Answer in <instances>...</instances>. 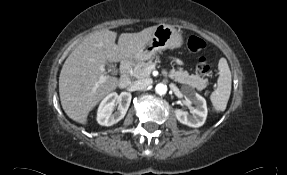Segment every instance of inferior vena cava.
<instances>
[{
  "label": "inferior vena cava",
  "mask_w": 287,
  "mask_h": 175,
  "mask_svg": "<svg viewBox=\"0 0 287 175\" xmlns=\"http://www.w3.org/2000/svg\"><path fill=\"white\" fill-rule=\"evenodd\" d=\"M151 84H152L151 79H142V80H138V81L133 82L132 87L134 90H144L148 86H150Z\"/></svg>",
  "instance_id": "1"
}]
</instances>
